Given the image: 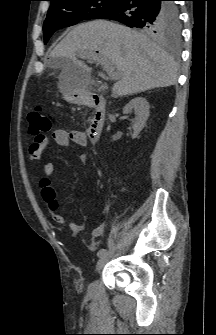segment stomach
Instances as JSON below:
<instances>
[{
  "label": "stomach",
  "instance_id": "obj_1",
  "mask_svg": "<svg viewBox=\"0 0 216 335\" xmlns=\"http://www.w3.org/2000/svg\"><path fill=\"white\" fill-rule=\"evenodd\" d=\"M59 87L62 89L63 98L69 103H79L84 96L83 91L79 88L70 87L64 77L60 79Z\"/></svg>",
  "mask_w": 216,
  "mask_h": 335
}]
</instances>
